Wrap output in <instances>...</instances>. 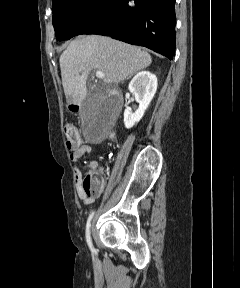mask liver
I'll return each mask as SVG.
<instances>
[{
	"label": "liver",
	"instance_id": "1",
	"mask_svg": "<svg viewBox=\"0 0 240 288\" xmlns=\"http://www.w3.org/2000/svg\"><path fill=\"white\" fill-rule=\"evenodd\" d=\"M151 63V55L139 47L98 35L79 37L60 56L66 99L70 104L81 105L92 70L104 73V83L118 84Z\"/></svg>",
	"mask_w": 240,
	"mask_h": 288
}]
</instances>
